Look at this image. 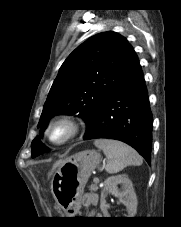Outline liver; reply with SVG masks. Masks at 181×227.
<instances>
[{
	"mask_svg": "<svg viewBox=\"0 0 181 227\" xmlns=\"http://www.w3.org/2000/svg\"><path fill=\"white\" fill-rule=\"evenodd\" d=\"M65 160H58L57 162L54 163L51 171L48 173V179L51 177V175L53 174V172L56 170V168H58Z\"/></svg>",
	"mask_w": 181,
	"mask_h": 227,
	"instance_id": "1",
	"label": "liver"
}]
</instances>
